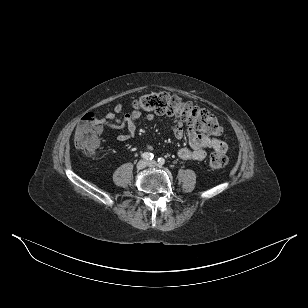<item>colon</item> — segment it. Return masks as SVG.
<instances>
[{
	"mask_svg": "<svg viewBox=\"0 0 308 308\" xmlns=\"http://www.w3.org/2000/svg\"><path fill=\"white\" fill-rule=\"evenodd\" d=\"M138 110L152 112L178 118L190 127L208 136H218L222 127L217 118L206 109L197 107L169 93H149L134 102ZM103 129L102 123L94 113H86L75 130V144L86 155L92 156L99 149V134ZM227 163L226 155L215 151L209 158V167L220 171Z\"/></svg>",
	"mask_w": 308,
	"mask_h": 308,
	"instance_id": "obj_1",
	"label": "colon"
}]
</instances>
